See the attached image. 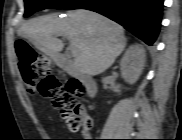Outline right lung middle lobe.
I'll return each instance as SVG.
<instances>
[{"label": "right lung middle lobe", "instance_id": "dd1d6c3e", "mask_svg": "<svg viewBox=\"0 0 182 140\" xmlns=\"http://www.w3.org/2000/svg\"><path fill=\"white\" fill-rule=\"evenodd\" d=\"M25 1V14L24 17L32 15L34 12L53 8L72 10L80 8L90 0H24Z\"/></svg>", "mask_w": 182, "mask_h": 140}]
</instances>
